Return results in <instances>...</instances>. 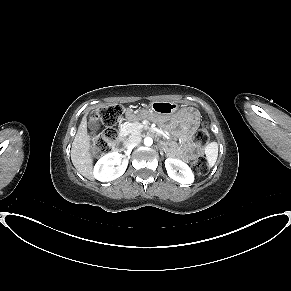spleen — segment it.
Instances as JSON below:
<instances>
[{
  "label": "spleen",
  "mask_w": 291,
  "mask_h": 291,
  "mask_svg": "<svg viewBox=\"0 0 291 291\" xmlns=\"http://www.w3.org/2000/svg\"><path fill=\"white\" fill-rule=\"evenodd\" d=\"M205 154L209 166H213L216 163L218 157V144L216 142L208 144L205 148Z\"/></svg>",
  "instance_id": "1"
}]
</instances>
